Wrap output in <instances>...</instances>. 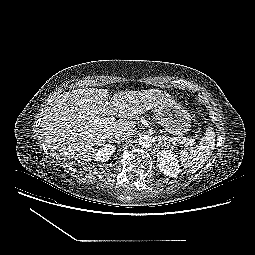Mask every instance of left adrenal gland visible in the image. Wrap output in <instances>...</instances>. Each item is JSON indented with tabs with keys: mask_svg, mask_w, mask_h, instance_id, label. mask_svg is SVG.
<instances>
[{
	"mask_svg": "<svg viewBox=\"0 0 255 255\" xmlns=\"http://www.w3.org/2000/svg\"><path fill=\"white\" fill-rule=\"evenodd\" d=\"M160 140V144L163 145V146H168L166 142H162L161 139Z\"/></svg>",
	"mask_w": 255,
	"mask_h": 255,
	"instance_id": "1",
	"label": "left adrenal gland"
}]
</instances>
